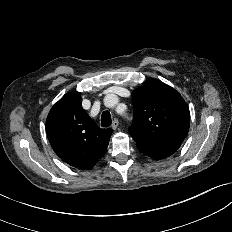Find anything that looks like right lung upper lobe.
Wrapping results in <instances>:
<instances>
[{
  "mask_svg": "<svg viewBox=\"0 0 232 232\" xmlns=\"http://www.w3.org/2000/svg\"><path fill=\"white\" fill-rule=\"evenodd\" d=\"M112 129H101L84 111L81 94H65L50 110L46 133L54 152L69 165L93 168L105 154Z\"/></svg>",
  "mask_w": 232,
  "mask_h": 232,
  "instance_id": "1",
  "label": "right lung upper lobe"
}]
</instances>
